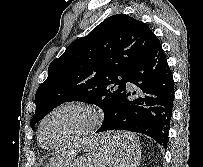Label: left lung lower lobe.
Returning a JSON list of instances; mask_svg holds the SVG:
<instances>
[{"mask_svg": "<svg viewBox=\"0 0 203 167\" xmlns=\"http://www.w3.org/2000/svg\"><path fill=\"white\" fill-rule=\"evenodd\" d=\"M127 82L138 92L126 88L108 120L97 130H126L150 136L166 148L174 105V81L159 40L135 63ZM101 147L117 149V143Z\"/></svg>", "mask_w": 203, "mask_h": 167, "instance_id": "0a47b994", "label": "left lung lower lobe"}]
</instances>
